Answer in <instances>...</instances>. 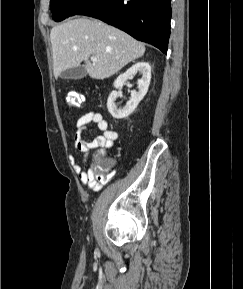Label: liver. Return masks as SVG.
Listing matches in <instances>:
<instances>
[{"instance_id": "6515ba94", "label": "liver", "mask_w": 243, "mask_h": 289, "mask_svg": "<svg viewBox=\"0 0 243 289\" xmlns=\"http://www.w3.org/2000/svg\"><path fill=\"white\" fill-rule=\"evenodd\" d=\"M50 40L56 79L63 71L78 67L83 61L91 78H109L145 53L144 44L124 31L86 17L54 26ZM90 56L97 57V62L91 63Z\"/></svg>"}]
</instances>
